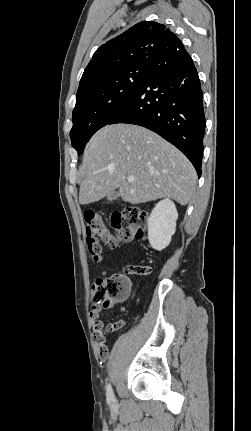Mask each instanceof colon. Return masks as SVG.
Masks as SVG:
<instances>
[{"mask_svg": "<svg viewBox=\"0 0 251 431\" xmlns=\"http://www.w3.org/2000/svg\"><path fill=\"white\" fill-rule=\"evenodd\" d=\"M84 220L89 253L94 260L100 261L103 257V244L114 247L119 243L145 238L148 212L132 206L113 214L110 219L113 232L102 217L93 211L86 212ZM145 273L146 269L143 266L128 265L124 268L123 274L96 279L91 289L94 305L108 309L123 302L131 289L129 276ZM122 324L123 322L119 321L112 324L111 328H118Z\"/></svg>", "mask_w": 251, "mask_h": 431, "instance_id": "1", "label": "colon"}]
</instances>
